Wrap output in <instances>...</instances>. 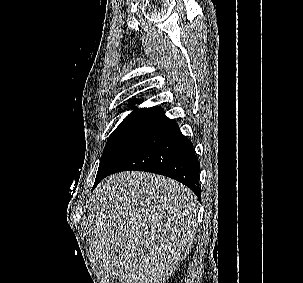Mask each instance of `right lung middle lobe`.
I'll return each mask as SVG.
<instances>
[{"instance_id":"dd1d6c3e","label":"right lung middle lobe","mask_w":303,"mask_h":283,"mask_svg":"<svg viewBox=\"0 0 303 283\" xmlns=\"http://www.w3.org/2000/svg\"><path fill=\"white\" fill-rule=\"evenodd\" d=\"M155 120L156 118L148 116H128L120 123L107 141L96 180L111 169L121 155Z\"/></svg>"}]
</instances>
